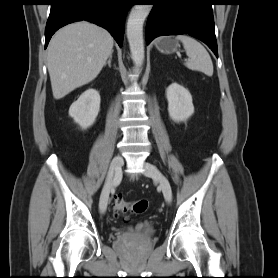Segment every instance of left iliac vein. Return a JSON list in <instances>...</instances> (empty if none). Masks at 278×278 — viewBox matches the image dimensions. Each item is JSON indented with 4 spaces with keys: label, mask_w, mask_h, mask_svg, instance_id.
Segmentation results:
<instances>
[{
    "label": "left iliac vein",
    "mask_w": 278,
    "mask_h": 278,
    "mask_svg": "<svg viewBox=\"0 0 278 278\" xmlns=\"http://www.w3.org/2000/svg\"><path fill=\"white\" fill-rule=\"evenodd\" d=\"M143 169L146 176L156 180L160 184L166 202L171 203L172 189L168 179L159 171L156 166L148 162L143 164Z\"/></svg>",
    "instance_id": "left-iliac-vein-1"
}]
</instances>
